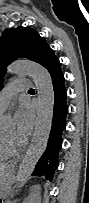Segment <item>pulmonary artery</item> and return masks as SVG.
Returning <instances> with one entry per match:
<instances>
[{
  "label": "pulmonary artery",
  "instance_id": "obj_1",
  "mask_svg": "<svg viewBox=\"0 0 89 203\" xmlns=\"http://www.w3.org/2000/svg\"><path fill=\"white\" fill-rule=\"evenodd\" d=\"M32 87V84L27 79H17L14 82L10 83L1 93L0 96V112H3L11 98L19 93L27 91Z\"/></svg>",
  "mask_w": 89,
  "mask_h": 203
}]
</instances>
